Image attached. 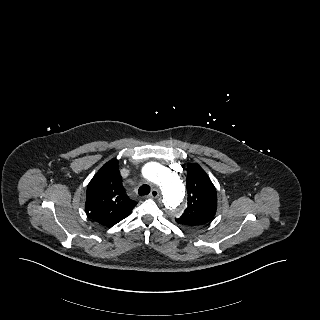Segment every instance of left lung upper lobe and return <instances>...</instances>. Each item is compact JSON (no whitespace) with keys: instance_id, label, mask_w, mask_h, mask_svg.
Listing matches in <instances>:
<instances>
[{"instance_id":"left-lung-upper-lobe-1","label":"left lung upper lobe","mask_w":320,"mask_h":320,"mask_svg":"<svg viewBox=\"0 0 320 320\" xmlns=\"http://www.w3.org/2000/svg\"><path fill=\"white\" fill-rule=\"evenodd\" d=\"M186 187L187 208L176 218L184 227L199 226L208 223L217 209V193L206 172L198 164H188Z\"/></svg>"}]
</instances>
